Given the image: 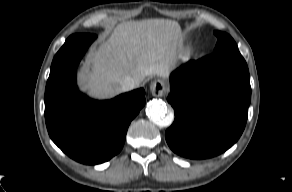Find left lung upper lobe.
Here are the masks:
<instances>
[{
    "instance_id": "left-lung-upper-lobe-1",
    "label": "left lung upper lobe",
    "mask_w": 292,
    "mask_h": 192,
    "mask_svg": "<svg viewBox=\"0 0 292 192\" xmlns=\"http://www.w3.org/2000/svg\"><path fill=\"white\" fill-rule=\"evenodd\" d=\"M214 34L217 36L218 41L214 53L218 52H237L239 53L238 47L232 37L224 32L215 31ZM213 53V54H214Z\"/></svg>"
}]
</instances>
